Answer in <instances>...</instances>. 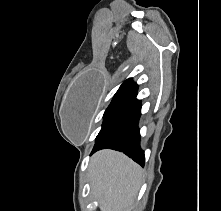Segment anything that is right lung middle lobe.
<instances>
[{
  "label": "right lung middle lobe",
  "instance_id": "obj_1",
  "mask_svg": "<svg viewBox=\"0 0 221 211\" xmlns=\"http://www.w3.org/2000/svg\"><path fill=\"white\" fill-rule=\"evenodd\" d=\"M136 94L137 92L135 91H118L114 95L110 105L104 113V121L97 138L117 119Z\"/></svg>",
  "mask_w": 221,
  "mask_h": 211
}]
</instances>
